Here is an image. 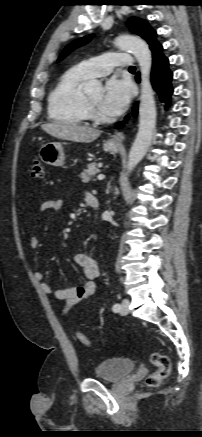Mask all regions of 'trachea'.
Masks as SVG:
<instances>
[{
	"label": "trachea",
	"mask_w": 202,
	"mask_h": 437,
	"mask_svg": "<svg viewBox=\"0 0 202 437\" xmlns=\"http://www.w3.org/2000/svg\"><path fill=\"white\" fill-rule=\"evenodd\" d=\"M129 70H135V67H134V66H131V67L129 68Z\"/></svg>",
	"instance_id": "obj_1"
}]
</instances>
